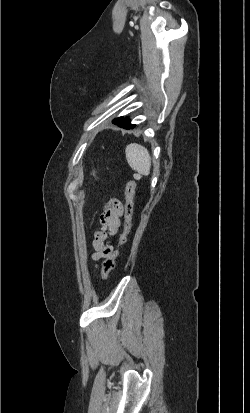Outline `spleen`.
Instances as JSON below:
<instances>
[{
    "label": "spleen",
    "mask_w": 250,
    "mask_h": 413,
    "mask_svg": "<svg viewBox=\"0 0 250 413\" xmlns=\"http://www.w3.org/2000/svg\"><path fill=\"white\" fill-rule=\"evenodd\" d=\"M130 167L141 175L148 176L151 169V158L148 150L137 143H131L125 150Z\"/></svg>",
    "instance_id": "3e777b00"
}]
</instances>
